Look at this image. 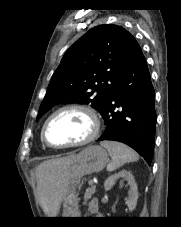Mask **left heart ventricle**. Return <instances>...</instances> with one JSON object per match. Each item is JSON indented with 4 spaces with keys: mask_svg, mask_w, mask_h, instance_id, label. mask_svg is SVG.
<instances>
[{
    "mask_svg": "<svg viewBox=\"0 0 181 227\" xmlns=\"http://www.w3.org/2000/svg\"><path fill=\"white\" fill-rule=\"evenodd\" d=\"M90 131L88 117L76 110H67L56 115L47 129L48 140L56 145L83 139Z\"/></svg>",
    "mask_w": 181,
    "mask_h": 227,
    "instance_id": "b2bd125f",
    "label": "left heart ventricle"
}]
</instances>
